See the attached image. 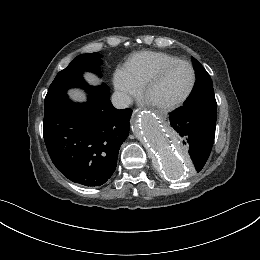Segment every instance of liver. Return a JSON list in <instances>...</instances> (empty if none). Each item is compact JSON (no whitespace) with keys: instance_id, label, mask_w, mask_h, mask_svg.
I'll use <instances>...</instances> for the list:
<instances>
[{"instance_id":"liver-1","label":"liver","mask_w":260,"mask_h":260,"mask_svg":"<svg viewBox=\"0 0 260 260\" xmlns=\"http://www.w3.org/2000/svg\"><path fill=\"white\" fill-rule=\"evenodd\" d=\"M85 77L92 84L98 83V79L92 74H86ZM69 95L75 101H84L85 100L84 93L77 89L70 90Z\"/></svg>"}]
</instances>
